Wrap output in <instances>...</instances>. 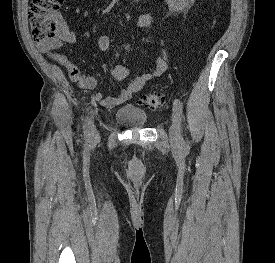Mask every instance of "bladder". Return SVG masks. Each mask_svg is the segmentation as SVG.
I'll use <instances>...</instances> for the list:
<instances>
[{"label": "bladder", "mask_w": 275, "mask_h": 263, "mask_svg": "<svg viewBox=\"0 0 275 263\" xmlns=\"http://www.w3.org/2000/svg\"><path fill=\"white\" fill-rule=\"evenodd\" d=\"M114 118L116 122L127 127H142L146 124L147 113L132 104H124L115 112Z\"/></svg>", "instance_id": "obj_1"}]
</instances>
